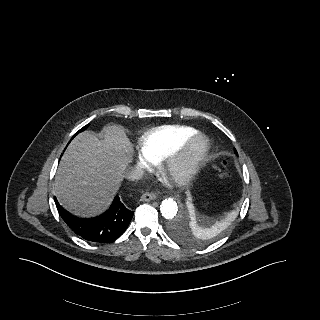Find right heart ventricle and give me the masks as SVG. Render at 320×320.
Returning <instances> with one entry per match:
<instances>
[{
	"label": "right heart ventricle",
	"mask_w": 320,
	"mask_h": 320,
	"mask_svg": "<svg viewBox=\"0 0 320 320\" xmlns=\"http://www.w3.org/2000/svg\"><path fill=\"white\" fill-rule=\"evenodd\" d=\"M196 130L188 126L167 125L148 132L139 143L141 153L154 163L165 160Z\"/></svg>",
	"instance_id": "obj_1"
}]
</instances>
